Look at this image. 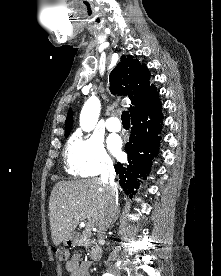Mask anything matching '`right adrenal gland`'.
I'll list each match as a JSON object with an SVG mask.
<instances>
[{
    "label": "right adrenal gland",
    "mask_w": 221,
    "mask_h": 276,
    "mask_svg": "<svg viewBox=\"0 0 221 276\" xmlns=\"http://www.w3.org/2000/svg\"><path fill=\"white\" fill-rule=\"evenodd\" d=\"M116 220H117V217L114 219V221H113V223H112V225H111V226H113V224H114V222H116Z\"/></svg>",
    "instance_id": "1"
}]
</instances>
